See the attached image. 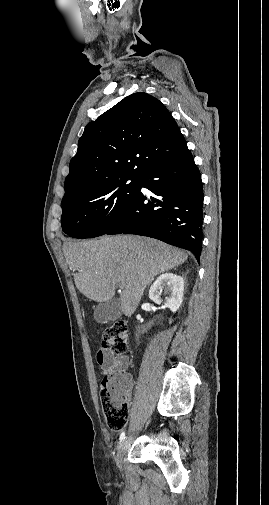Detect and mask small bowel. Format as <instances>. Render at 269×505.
I'll list each match as a JSON object with an SVG mask.
<instances>
[{
    "label": "small bowel",
    "mask_w": 269,
    "mask_h": 505,
    "mask_svg": "<svg viewBox=\"0 0 269 505\" xmlns=\"http://www.w3.org/2000/svg\"><path fill=\"white\" fill-rule=\"evenodd\" d=\"M96 361L101 368V373L105 377L111 375H125L130 377L127 373L129 360L127 357H115L113 354L106 350H99L96 354Z\"/></svg>",
    "instance_id": "1"
}]
</instances>
